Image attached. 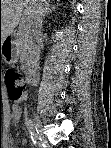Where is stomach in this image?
<instances>
[{
	"label": "stomach",
	"instance_id": "stomach-1",
	"mask_svg": "<svg viewBox=\"0 0 111 148\" xmlns=\"http://www.w3.org/2000/svg\"><path fill=\"white\" fill-rule=\"evenodd\" d=\"M4 42H2V45L4 44ZM0 49H1L0 57L5 63L13 64L16 62V60H17L16 50H15L16 48H15L13 42H11L7 46H2Z\"/></svg>",
	"mask_w": 111,
	"mask_h": 148
}]
</instances>
